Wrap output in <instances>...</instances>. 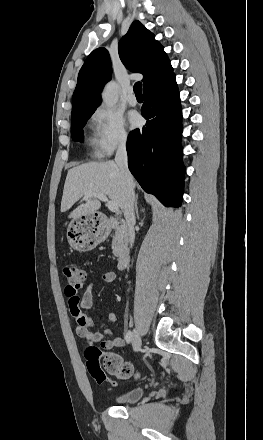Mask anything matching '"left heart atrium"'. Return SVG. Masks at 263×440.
Returning a JSON list of instances; mask_svg holds the SVG:
<instances>
[{"instance_id":"1","label":"left heart atrium","mask_w":263,"mask_h":440,"mask_svg":"<svg viewBox=\"0 0 263 440\" xmlns=\"http://www.w3.org/2000/svg\"><path fill=\"white\" fill-rule=\"evenodd\" d=\"M141 119L138 114L131 113L129 115V123L132 128H135L140 125Z\"/></svg>"}]
</instances>
